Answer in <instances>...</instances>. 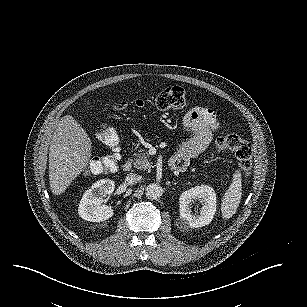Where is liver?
Listing matches in <instances>:
<instances>
[{
	"instance_id": "6515ba94",
	"label": "liver",
	"mask_w": 307,
	"mask_h": 307,
	"mask_svg": "<svg viewBox=\"0 0 307 307\" xmlns=\"http://www.w3.org/2000/svg\"><path fill=\"white\" fill-rule=\"evenodd\" d=\"M92 142L86 131L71 116L60 119L49 147V184L54 195L64 193L87 167Z\"/></svg>"
}]
</instances>
